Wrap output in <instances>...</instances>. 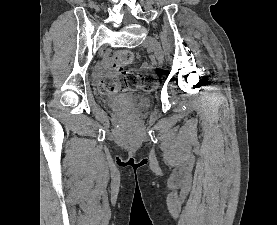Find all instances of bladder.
<instances>
[{"label":"bladder","mask_w":277,"mask_h":225,"mask_svg":"<svg viewBox=\"0 0 277 225\" xmlns=\"http://www.w3.org/2000/svg\"><path fill=\"white\" fill-rule=\"evenodd\" d=\"M150 106V100L145 96L128 95L117 97L112 107L115 109L134 108L137 110H146Z\"/></svg>","instance_id":"1"}]
</instances>
